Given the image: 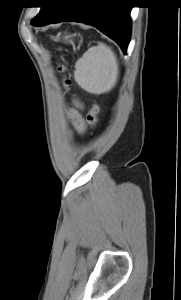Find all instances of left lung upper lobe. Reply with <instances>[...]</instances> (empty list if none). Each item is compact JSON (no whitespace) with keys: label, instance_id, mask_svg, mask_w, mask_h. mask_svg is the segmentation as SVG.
<instances>
[{"label":"left lung upper lobe","instance_id":"5c2ea615","mask_svg":"<svg viewBox=\"0 0 181 300\" xmlns=\"http://www.w3.org/2000/svg\"><path fill=\"white\" fill-rule=\"evenodd\" d=\"M55 0H46V4L41 7L39 14L31 21V24L37 26L43 17L48 13L53 6Z\"/></svg>","mask_w":181,"mask_h":300}]
</instances>
